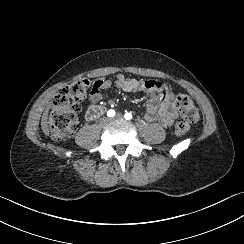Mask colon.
<instances>
[{
  "instance_id": "obj_1",
  "label": "colon",
  "mask_w": 244,
  "mask_h": 244,
  "mask_svg": "<svg viewBox=\"0 0 244 244\" xmlns=\"http://www.w3.org/2000/svg\"><path fill=\"white\" fill-rule=\"evenodd\" d=\"M89 89V80L80 78L69 83L55 95L48 115V123L54 141H65L73 135L77 129L78 115L81 111L79 101L83 99ZM174 103L180 111V118L173 132L177 138H181L188 132L190 126L199 120V111L192 99L185 94H176Z\"/></svg>"
}]
</instances>
